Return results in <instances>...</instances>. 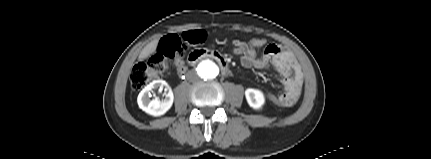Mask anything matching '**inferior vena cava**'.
Listing matches in <instances>:
<instances>
[{
    "label": "inferior vena cava",
    "instance_id": "inferior-vena-cava-1",
    "mask_svg": "<svg viewBox=\"0 0 431 159\" xmlns=\"http://www.w3.org/2000/svg\"><path fill=\"white\" fill-rule=\"evenodd\" d=\"M189 78L191 79V80H196L197 79V76L195 75V73H193V72H191V73H189Z\"/></svg>",
    "mask_w": 431,
    "mask_h": 159
}]
</instances>
